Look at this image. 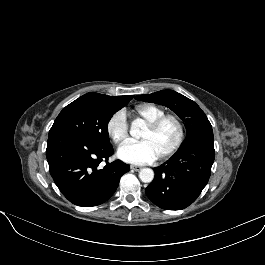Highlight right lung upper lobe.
Here are the masks:
<instances>
[{"instance_id":"right-lung-upper-lobe-1","label":"right lung upper lobe","mask_w":265,"mask_h":265,"mask_svg":"<svg viewBox=\"0 0 265 265\" xmlns=\"http://www.w3.org/2000/svg\"><path fill=\"white\" fill-rule=\"evenodd\" d=\"M81 99L94 101L101 105L107 107H117L126 105L131 99L132 96H118V97H111L104 94L99 93H87L80 97Z\"/></svg>"}]
</instances>
